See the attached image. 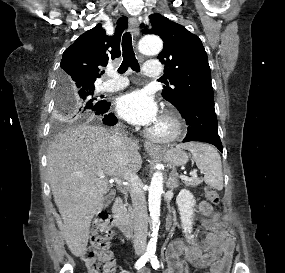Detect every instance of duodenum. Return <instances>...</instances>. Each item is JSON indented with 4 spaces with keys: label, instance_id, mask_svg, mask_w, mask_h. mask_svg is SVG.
I'll list each match as a JSON object with an SVG mask.
<instances>
[{
    "label": "duodenum",
    "instance_id": "duodenum-1",
    "mask_svg": "<svg viewBox=\"0 0 285 273\" xmlns=\"http://www.w3.org/2000/svg\"><path fill=\"white\" fill-rule=\"evenodd\" d=\"M113 212L115 214V225L126 236L131 237L133 233V225L129 217L125 213L124 203L121 198H117L113 205ZM173 225V217L169 216L167 219V230L169 231Z\"/></svg>",
    "mask_w": 285,
    "mask_h": 273
}]
</instances>
